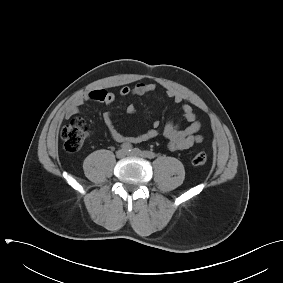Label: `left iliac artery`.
<instances>
[{"label": "left iliac artery", "mask_w": 283, "mask_h": 283, "mask_svg": "<svg viewBox=\"0 0 283 283\" xmlns=\"http://www.w3.org/2000/svg\"><path fill=\"white\" fill-rule=\"evenodd\" d=\"M145 157L149 158V159H153L156 157V154L154 152H151V151H144L143 152Z\"/></svg>", "instance_id": "44dca946"}]
</instances>
